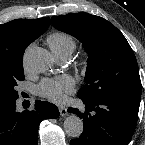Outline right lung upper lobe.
I'll return each instance as SVG.
<instances>
[{
  "instance_id": "obj_1",
  "label": "right lung upper lobe",
  "mask_w": 145,
  "mask_h": 145,
  "mask_svg": "<svg viewBox=\"0 0 145 145\" xmlns=\"http://www.w3.org/2000/svg\"><path fill=\"white\" fill-rule=\"evenodd\" d=\"M50 23V18L46 17L0 24V76L23 66L25 49L47 30Z\"/></svg>"
}]
</instances>
